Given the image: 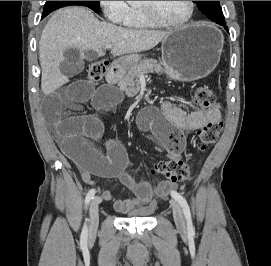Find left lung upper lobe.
I'll return each instance as SVG.
<instances>
[{
    "label": "left lung upper lobe",
    "instance_id": "1",
    "mask_svg": "<svg viewBox=\"0 0 271 266\" xmlns=\"http://www.w3.org/2000/svg\"><path fill=\"white\" fill-rule=\"evenodd\" d=\"M199 10L209 19L220 25L225 24V18L219 1H195Z\"/></svg>",
    "mask_w": 271,
    "mask_h": 266
}]
</instances>
